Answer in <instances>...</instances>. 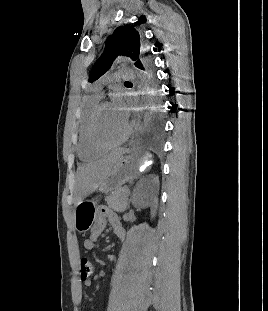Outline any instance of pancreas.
Listing matches in <instances>:
<instances>
[{
	"mask_svg": "<svg viewBox=\"0 0 268 311\" xmlns=\"http://www.w3.org/2000/svg\"><path fill=\"white\" fill-rule=\"evenodd\" d=\"M105 200L109 208L116 212L123 213L129 206L128 193L123 189L112 192L110 195L105 197Z\"/></svg>",
	"mask_w": 268,
	"mask_h": 311,
	"instance_id": "obj_1",
	"label": "pancreas"
}]
</instances>
